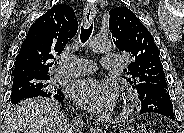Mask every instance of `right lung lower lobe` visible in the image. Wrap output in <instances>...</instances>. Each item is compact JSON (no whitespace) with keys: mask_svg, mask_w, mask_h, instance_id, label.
<instances>
[{"mask_svg":"<svg viewBox=\"0 0 184 133\" xmlns=\"http://www.w3.org/2000/svg\"><path fill=\"white\" fill-rule=\"evenodd\" d=\"M50 97H52L60 102H63V100H64V94L62 92H60L58 94H53ZM22 100H24V99L17 100L16 102H14V104H18Z\"/></svg>","mask_w":184,"mask_h":133,"instance_id":"98d812e1","label":"right lung lower lobe"}]
</instances>
